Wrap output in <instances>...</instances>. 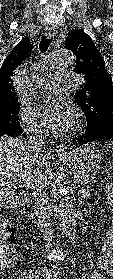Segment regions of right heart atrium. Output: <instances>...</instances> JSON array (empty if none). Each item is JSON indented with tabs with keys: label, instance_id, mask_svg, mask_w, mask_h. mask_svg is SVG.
<instances>
[{
	"label": "right heart atrium",
	"instance_id": "obj_1",
	"mask_svg": "<svg viewBox=\"0 0 113 279\" xmlns=\"http://www.w3.org/2000/svg\"><path fill=\"white\" fill-rule=\"evenodd\" d=\"M19 116L27 134L35 136L42 133V127L32 110L22 108Z\"/></svg>",
	"mask_w": 113,
	"mask_h": 279
}]
</instances>
